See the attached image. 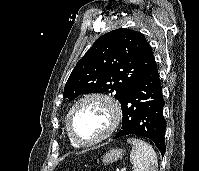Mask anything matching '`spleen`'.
<instances>
[{"instance_id": "spleen-1", "label": "spleen", "mask_w": 199, "mask_h": 171, "mask_svg": "<svg viewBox=\"0 0 199 171\" xmlns=\"http://www.w3.org/2000/svg\"><path fill=\"white\" fill-rule=\"evenodd\" d=\"M127 142L132 144L133 171H158L157 155L150 144L138 138H128Z\"/></svg>"}]
</instances>
